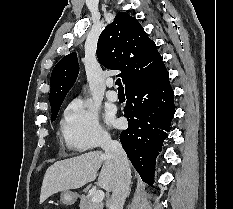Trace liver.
I'll return each mask as SVG.
<instances>
[{
	"label": "liver",
	"instance_id": "obj_1",
	"mask_svg": "<svg viewBox=\"0 0 233 209\" xmlns=\"http://www.w3.org/2000/svg\"><path fill=\"white\" fill-rule=\"evenodd\" d=\"M100 168L98 185L107 192L113 191L116 180L115 164L110 156L101 151L55 162L44 175L40 204L55 193L78 189L94 181Z\"/></svg>",
	"mask_w": 233,
	"mask_h": 209
}]
</instances>
